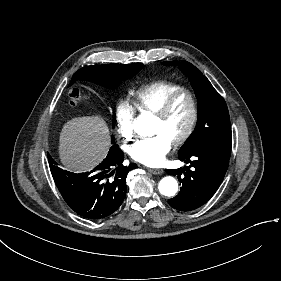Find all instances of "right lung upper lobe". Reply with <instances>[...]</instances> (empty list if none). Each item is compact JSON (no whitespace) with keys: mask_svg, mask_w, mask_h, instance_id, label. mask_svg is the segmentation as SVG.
Instances as JSON below:
<instances>
[{"mask_svg":"<svg viewBox=\"0 0 281 281\" xmlns=\"http://www.w3.org/2000/svg\"><path fill=\"white\" fill-rule=\"evenodd\" d=\"M74 82H75L74 80H71V84L74 83ZM71 84H70V85H71Z\"/></svg>","mask_w":281,"mask_h":281,"instance_id":"1","label":"right lung upper lobe"}]
</instances>
